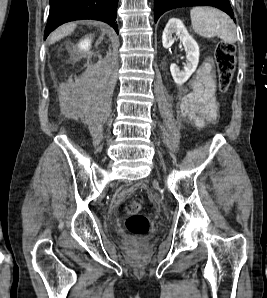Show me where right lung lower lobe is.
<instances>
[{
  "mask_svg": "<svg viewBox=\"0 0 267 298\" xmlns=\"http://www.w3.org/2000/svg\"><path fill=\"white\" fill-rule=\"evenodd\" d=\"M118 0H50V13L44 39L59 25L81 19L108 23L118 33L115 23Z\"/></svg>",
  "mask_w": 267,
  "mask_h": 298,
  "instance_id": "right-lung-lower-lobe-1",
  "label": "right lung lower lobe"
}]
</instances>
